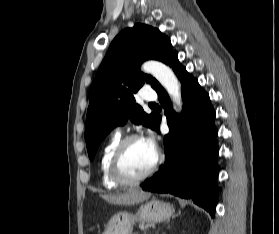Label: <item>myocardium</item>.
I'll return each instance as SVG.
<instances>
[{
  "label": "myocardium",
  "instance_id": "f54148a6",
  "mask_svg": "<svg viewBox=\"0 0 279 234\" xmlns=\"http://www.w3.org/2000/svg\"><path fill=\"white\" fill-rule=\"evenodd\" d=\"M145 138L138 134H131L119 141L115 147L113 154L110 160V175L115 183L121 186H132L141 183L150 177L158 168L161 162V155L159 152H156V158L153 164L148 168L146 172L136 177H128L122 171L121 161L124 155V152L128 145L136 140H144Z\"/></svg>",
  "mask_w": 279,
  "mask_h": 234
}]
</instances>
